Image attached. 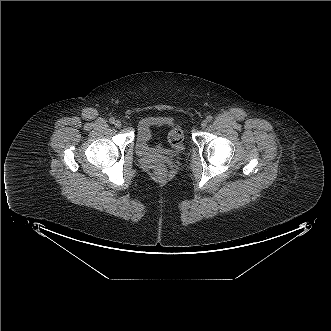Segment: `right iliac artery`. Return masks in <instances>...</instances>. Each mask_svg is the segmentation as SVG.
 Here are the masks:
<instances>
[{
	"label": "right iliac artery",
	"mask_w": 331,
	"mask_h": 331,
	"mask_svg": "<svg viewBox=\"0 0 331 331\" xmlns=\"http://www.w3.org/2000/svg\"><path fill=\"white\" fill-rule=\"evenodd\" d=\"M109 121H110V123H114L115 122V119L113 118V117H111L110 119H109Z\"/></svg>",
	"instance_id": "82829eb1"
}]
</instances>
